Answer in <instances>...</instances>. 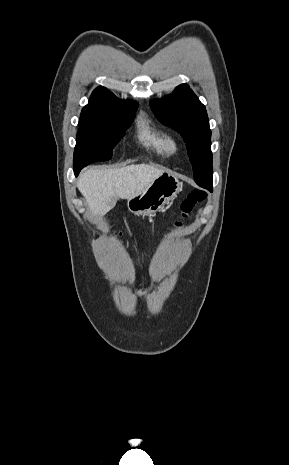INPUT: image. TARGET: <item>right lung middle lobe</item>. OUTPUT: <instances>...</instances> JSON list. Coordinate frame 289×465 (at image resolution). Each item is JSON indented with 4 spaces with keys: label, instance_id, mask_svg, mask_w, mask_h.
<instances>
[{
    "label": "right lung middle lobe",
    "instance_id": "right-lung-middle-lobe-1",
    "mask_svg": "<svg viewBox=\"0 0 289 465\" xmlns=\"http://www.w3.org/2000/svg\"><path fill=\"white\" fill-rule=\"evenodd\" d=\"M137 103H120L111 107V118L99 125H84L77 133L74 165L83 166L106 161L112 157L113 147L123 138L130 125Z\"/></svg>",
    "mask_w": 289,
    "mask_h": 465
}]
</instances>
